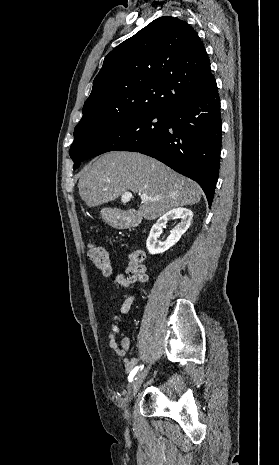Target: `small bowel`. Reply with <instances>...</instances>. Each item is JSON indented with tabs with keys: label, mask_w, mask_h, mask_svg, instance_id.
<instances>
[{
	"label": "small bowel",
	"mask_w": 279,
	"mask_h": 465,
	"mask_svg": "<svg viewBox=\"0 0 279 465\" xmlns=\"http://www.w3.org/2000/svg\"><path fill=\"white\" fill-rule=\"evenodd\" d=\"M113 283L115 287L118 289H124L130 286V281L124 274H117L113 279ZM134 300H135L134 295L129 294V293L124 294V300L120 308V311L122 314H127L131 310ZM108 339H109L110 348L117 355V362H122L123 364V367H122L123 373L124 374L131 373V371L135 368V366L138 363V358L137 357L128 358L125 356L126 352L128 351L130 347V339L127 336H124L121 339L120 344H118L116 341V336L112 332L108 334Z\"/></svg>",
	"instance_id": "c3829d8e"
}]
</instances>
